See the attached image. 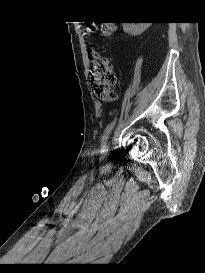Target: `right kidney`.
Wrapping results in <instances>:
<instances>
[{
  "instance_id": "right-kidney-1",
  "label": "right kidney",
  "mask_w": 205,
  "mask_h": 273,
  "mask_svg": "<svg viewBox=\"0 0 205 273\" xmlns=\"http://www.w3.org/2000/svg\"><path fill=\"white\" fill-rule=\"evenodd\" d=\"M150 23H137L129 24V23H123V30L130 34H141L147 27H149Z\"/></svg>"
}]
</instances>
